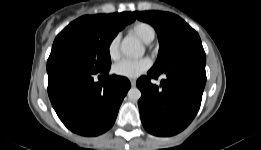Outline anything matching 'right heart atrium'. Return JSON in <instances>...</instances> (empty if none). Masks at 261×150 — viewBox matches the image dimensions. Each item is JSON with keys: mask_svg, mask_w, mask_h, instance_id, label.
Returning <instances> with one entry per match:
<instances>
[{"mask_svg": "<svg viewBox=\"0 0 261 150\" xmlns=\"http://www.w3.org/2000/svg\"><path fill=\"white\" fill-rule=\"evenodd\" d=\"M120 37L115 35L108 43L107 53L111 60H117L120 55Z\"/></svg>", "mask_w": 261, "mask_h": 150, "instance_id": "d8ad5b80", "label": "right heart atrium"}]
</instances>
